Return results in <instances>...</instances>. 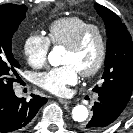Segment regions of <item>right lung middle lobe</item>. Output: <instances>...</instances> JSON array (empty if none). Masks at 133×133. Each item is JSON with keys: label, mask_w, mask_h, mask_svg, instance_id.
<instances>
[{"label": "right lung middle lobe", "mask_w": 133, "mask_h": 133, "mask_svg": "<svg viewBox=\"0 0 133 133\" xmlns=\"http://www.w3.org/2000/svg\"><path fill=\"white\" fill-rule=\"evenodd\" d=\"M25 5L0 6V95L13 90V82L20 67L12 53V37L26 16Z\"/></svg>", "instance_id": "right-lung-middle-lobe-1"}]
</instances>
